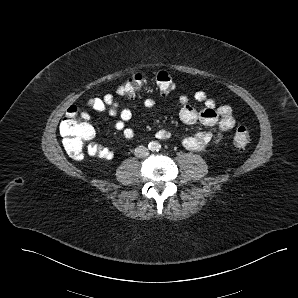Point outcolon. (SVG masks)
I'll use <instances>...</instances> for the list:
<instances>
[{
    "label": "colon",
    "instance_id": "5ec220e1",
    "mask_svg": "<svg viewBox=\"0 0 298 298\" xmlns=\"http://www.w3.org/2000/svg\"><path fill=\"white\" fill-rule=\"evenodd\" d=\"M155 83L156 88L165 95L171 93L175 88L173 78L167 71H159L156 74ZM144 84V75L135 73L129 76L117 91L121 95L135 97L140 93ZM59 131L63 138L65 151L74 160H82L85 152L89 153V149L96 144L94 128L76 106L67 109L61 120ZM251 139L252 134L246 126L237 127L234 134V144L238 148L247 147Z\"/></svg>",
    "mask_w": 298,
    "mask_h": 298
}]
</instances>
